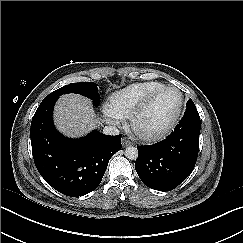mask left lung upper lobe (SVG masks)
Wrapping results in <instances>:
<instances>
[{"label": "left lung upper lobe", "mask_w": 243, "mask_h": 243, "mask_svg": "<svg viewBox=\"0 0 243 243\" xmlns=\"http://www.w3.org/2000/svg\"><path fill=\"white\" fill-rule=\"evenodd\" d=\"M187 108L185 112L188 111H197L195 104L193 103V101L191 99L188 100L187 104H186Z\"/></svg>", "instance_id": "obj_1"}]
</instances>
